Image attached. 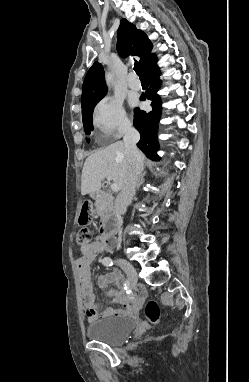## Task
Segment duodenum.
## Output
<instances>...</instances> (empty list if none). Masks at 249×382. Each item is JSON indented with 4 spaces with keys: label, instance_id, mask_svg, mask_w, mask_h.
<instances>
[{
    "label": "duodenum",
    "instance_id": "410a0bca",
    "mask_svg": "<svg viewBox=\"0 0 249 382\" xmlns=\"http://www.w3.org/2000/svg\"><path fill=\"white\" fill-rule=\"evenodd\" d=\"M92 197L97 200L104 199L101 190H95L92 193ZM111 203L106 204V208H110ZM119 219L116 216H107L101 224V232L106 237L112 238L119 230Z\"/></svg>",
    "mask_w": 249,
    "mask_h": 382
}]
</instances>
